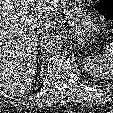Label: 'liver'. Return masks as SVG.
I'll list each match as a JSON object with an SVG mask.
<instances>
[{"instance_id":"1","label":"liver","mask_w":113,"mask_h":113,"mask_svg":"<svg viewBox=\"0 0 113 113\" xmlns=\"http://www.w3.org/2000/svg\"><path fill=\"white\" fill-rule=\"evenodd\" d=\"M61 0H0V88L29 92L36 72L38 34L50 26Z\"/></svg>"}]
</instances>
